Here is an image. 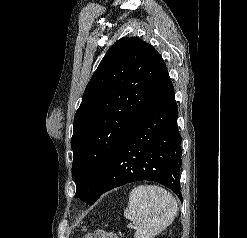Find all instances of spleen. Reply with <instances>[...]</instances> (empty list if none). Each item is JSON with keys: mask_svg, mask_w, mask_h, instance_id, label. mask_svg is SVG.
<instances>
[{"mask_svg": "<svg viewBox=\"0 0 247 238\" xmlns=\"http://www.w3.org/2000/svg\"><path fill=\"white\" fill-rule=\"evenodd\" d=\"M177 211V202L167 190L139 185L129 195L124 216L135 225V238H153L173 222Z\"/></svg>", "mask_w": 247, "mask_h": 238, "instance_id": "obj_1", "label": "spleen"}]
</instances>
